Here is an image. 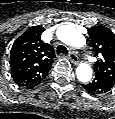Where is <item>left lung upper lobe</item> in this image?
I'll return each mask as SVG.
<instances>
[{
  "instance_id": "5c2ea615",
  "label": "left lung upper lobe",
  "mask_w": 115,
  "mask_h": 119,
  "mask_svg": "<svg viewBox=\"0 0 115 119\" xmlns=\"http://www.w3.org/2000/svg\"><path fill=\"white\" fill-rule=\"evenodd\" d=\"M88 33L95 55H100V60L95 64V73L115 82V34L102 25L88 28Z\"/></svg>"
}]
</instances>
